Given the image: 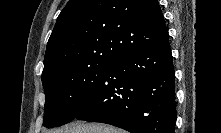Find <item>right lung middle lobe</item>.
I'll use <instances>...</instances> for the list:
<instances>
[{
  "instance_id": "obj_1",
  "label": "right lung middle lobe",
  "mask_w": 221,
  "mask_h": 133,
  "mask_svg": "<svg viewBox=\"0 0 221 133\" xmlns=\"http://www.w3.org/2000/svg\"><path fill=\"white\" fill-rule=\"evenodd\" d=\"M111 68L109 64L70 65L42 76L45 90L43 125L47 128L72 121Z\"/></svg>"
}]
</instances>
